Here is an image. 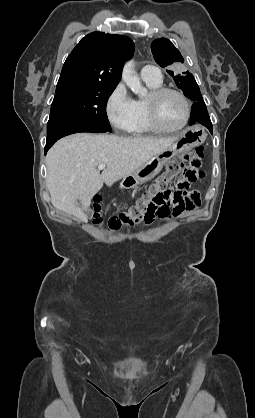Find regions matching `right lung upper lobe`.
<instances>
[{
  "instance_id": "right-lung-upper-lobe-1",
  "label": "right lung upper lobe",
  "mask_w": 255,
  "mask_h": 418,
  "mask_svg": "<svg viewBox=\"0 0 255 418\" xmlns=\"http://www.w3.org/2000/svg\"><path fill=\"white\" fill-rule=\"evenodd\" d=\"M133 53L134 43L130 38L92 32L82 38L67 57L58 84L116 86L121 78L123 63Z\"/></svg>"
}]
</instances>
